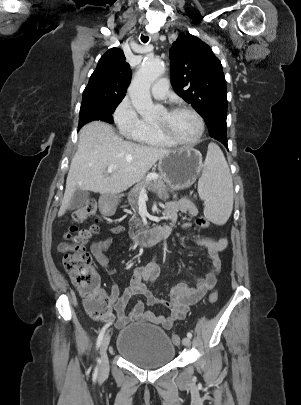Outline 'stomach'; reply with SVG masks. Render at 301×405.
<instances>
[{"mask_svg": "<svg viewBox=\"0 0 301 405\" xmlns=\"http://www.w3.org/2000/svg\"><path fill=\"white\" fill-rule=\"evenodd\" d=\"M202 154L190 147L171 150L159 159L158 170L170 190L192 186L202 169Z\"/></svg>", "mask_w": 301, "mask_h": 405, "instance_id": "1", "label": "stomach"}]
</instances>
